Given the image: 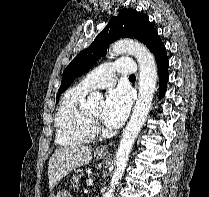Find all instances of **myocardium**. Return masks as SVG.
<instances>
[{
  "label": "myocardium",
  "instance_id": "f54148a6",
  "mask_svg": "<svg viewBox=\"0 0 209 197\" xmlns=\"http://www.w3.org/2000/svg\"><path fill=\"white\" fill-rule=\"evenodd\" d=\"M88 123L90 126V129L93 132H101L103 131V128L100 124L99 117L93 115L89 110L86 109Z\"/></svg>",
  "mask_w": 209,
  "mask_h": 197
}]
</instances>
